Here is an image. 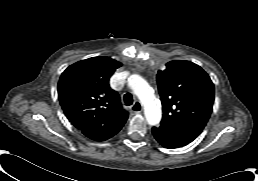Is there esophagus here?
<instances>
[{
	"label": "esophagus",
	"instance_id": "1",
	"mask_svg": "<svg viewBox=\"0 0 258 181\" xmlns=\"http://www.w3.org/2000/svg\"><path fill=\"white\" fill-rule=\"evenodd\" d=\"M131 110H132V112H134V113H136V114L142 112L143 106H142L141 102L136 101V102L132 105Z\"/></svg>",
	"mask_w": 258,
	"mask_h": 181
}]
</instances>
